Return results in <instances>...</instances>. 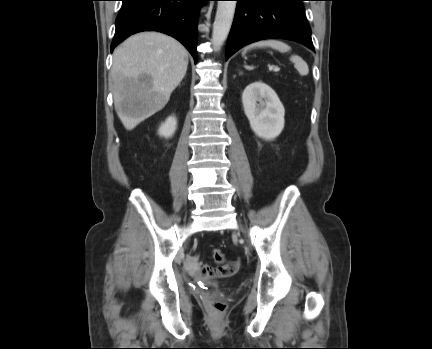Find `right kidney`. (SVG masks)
I'll return each mask as SVG.
<instances>
[{
	"mask_svg": "<svg viewBox=\"0 0 432 349\" xmlns=\"http://www.w3.org/2000/svg\"><path fill=\"white\" fill-rule=\"evenodd\" d=\"M177 129V119L174 116H169L164 123L161 124L158 134L161 137L170 138Z\"/></svg>",
	"mask_w": 432,
	"mask_h": 349,
	"instance_id": "1",
	"label": "right kidney"
}]
</instances>
